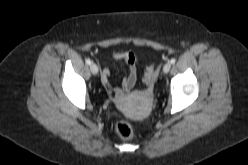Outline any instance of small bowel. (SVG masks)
Returning a JSON list of instances; mask_svg holds the SVG:
<instances>
[{"instance_id":"small-bowel-1","label":"small bowel","mask_w":248,"mask_h":165,"mask_svg":"<svg viewBox=\"0 0 248 165\" xmlns=\"http://www.w3.org/2000/svg\"><path fill=\"white\" fill-rule=\"evenodd\" d=\"M112 59L116 62H124L128 65V74L123 79L118 87H113L110 83V70L107 66L102 69L101 79L107 90L114 94L116 99L122 98L126 93L131 91L137 82L138 74V58L131 52H116L113 54Z\"/></svg>"}]
</instances>
